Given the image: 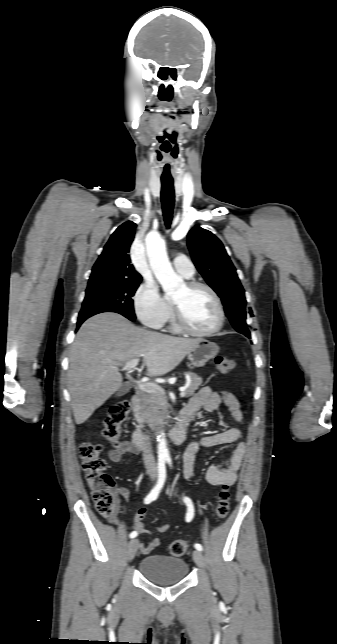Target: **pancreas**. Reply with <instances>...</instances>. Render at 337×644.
Masks as SVG:
<instances>
[{
  "mask_svg": "<svg viewBox=\"0 0 337 644\" xmlns=\"http://www.w3.org/2000/svg\"><path fill=\"white\" fill-rule=\"evenodd\" d=\"M186 377H189L190 384L185 390V396L190 397L201 385L202 378L192 372H188ZM140 403V422L142 424L146 423L153 429L156 425L161 424L165 418H168V404L165 394L161 392L147 393L142 391Z\"/></svg>",
  "mask_w": 337,
  "mask_h": 644,
  "instance_id": "1",
  "label": "pancreas"
}]
</instances>
